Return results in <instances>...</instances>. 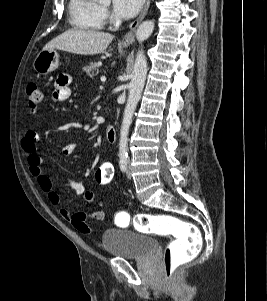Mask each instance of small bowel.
<instances>
[{
	"mask_svg": "<svg viewBox=\"0 0 267 301\" xmlns=\"http://www.w3.org/2000/svg\"><path fill=\"white\" fill-rule=\"evenodd\" d=\"M72 81L71 75L67 73L59 74L54 83L53 99L57 102H64L69 99L71 95L70 84ZM34 112V111H33ZM39 142V134L36 130L29 128L21 140V148L27 156L30 173L37 179L38 185L43 192H45L54 205L60 203V197L54 189L52 179L42 169V158L37 153V144ZM77 148L76 143L66 144L62 148V154L69 157L74 154ZM65 183L72 188L77 195H85L87 202H92L95 199V194L92 191H85L84 185L74 179H65ZM60 215L66 219L71 220L73 226L82 233H89L90 226L87 223V218L94 220H102L104 212L98 211L92 213L90 216L82 212L71 213L66 208L60 209Z\"/></svg>",
	"mask_w": 267,
	"mask_h": 301,
	"instance_id": "c3829d8e",
	"label": "small bowel"
}]
</instances>
